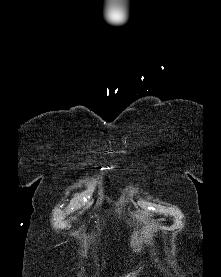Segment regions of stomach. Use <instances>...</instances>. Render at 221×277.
<instances>
[{"label": "stomach", "mask_w": 221, "mask_h": 277, "mask_svg": "<svg viewBox=\"0 0 221 277\" xmlns=\"http://www.w3.org/2000/svg\"><path fill=\"white\" fill-rule=\"evenodd\" d=\"M141 269H142V267H141V265H139V270L138 271L132 272V273H128L124 277H136Z\"/></svg>", "instance_id": "1"}]
</instances>
